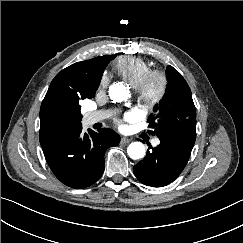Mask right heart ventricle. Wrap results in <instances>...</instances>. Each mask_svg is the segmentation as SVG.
I'll list each match as a JSON object with an SVG mask.
<instances>
[{
  "label": "right heart ventricle",
  "mask_w": 243,
  "mask_h": 243,
  "mask_svg": "<svg viewBox=\"0 0 243 243\" xmlns=\"http://www.w3.org/2000/svg\"><path fill=\"white\" fill-rule=\"evenodd\" d=\"M113 68L117 75L136 88L144 76L152 70V65L140 57L123 56L115 61Z\"/></svg>",
  "instance_id": "1"
}]
</instances>
